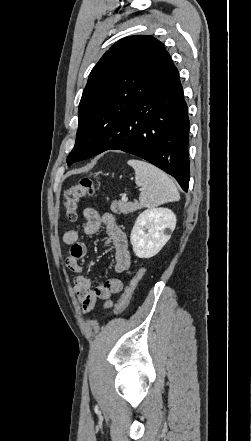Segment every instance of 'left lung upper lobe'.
I'll list each match as a JSON object with an SVG mask.
<instances>
[{
    "instance_id": "1",
    "label": "left lung upper lobe",
    "mask_w": 251,
    "mask_h": 441,
    "mask_svg": "<svg viewBox=\"0 0 251 441\" xmlns=\"http://www.w3.org/2000/svg\"><path fill=\"white\" fill-rule=\"evenodd\" d=\"M164 44L149 35L116 42L92 69L79 104L76 143L67 164L88 159L94 127L127 115L170 65Z\"/></svg>"
}]
</instances>
